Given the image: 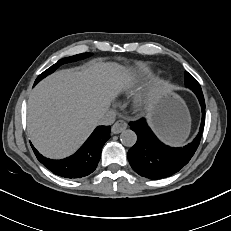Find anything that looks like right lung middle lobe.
<instances>
[{
  "label": "right lung middle lobe",
  "instance_id": "dd1d6c3e",
  "mask_svg": "<svg viewBox=\"0 0 231 231\" xmlns=\"http://www.w3.org/2000/svg\"><path fill=\"white\" fill-rule=\"evenodd\" d=\"M90 55L91 54L83 53V54H78V55H74V56L63 58V59L59 60L56 64L52 65L50 68H48L47 70H45L42 74H40L37 77L34 85L37 84L41 79H43L47 75L53 73L62 64L69 63V62H74V61H77V60H80V59H84V58H86V57H88Z\"/></svg>",
  "mask_w": 231,
  "mask_h": 231
}]
</instances>
